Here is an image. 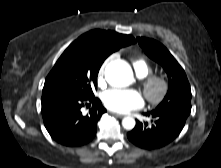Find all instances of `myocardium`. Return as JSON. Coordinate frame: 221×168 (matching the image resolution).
Listing matches in <instances>:
<instances>
[{"mask_svg": "<svg viewBox=\"0 0 221 168\" xmlns=\"http://www.w3.org/2000/svg\"><path fill=\"white\" fill-rule=\"evenodd\" d=\"M142 87L147 100L153 105H158L166 99L170 84L164 75L152 74L144 79Z\"/></svg>", "mask_w": 221, "mask_h": 168, "instance_id": "myocardium-1", "label": "myocardium"}]
</instances>
